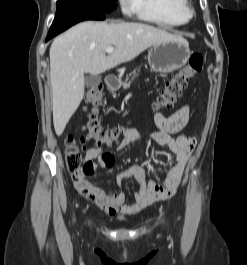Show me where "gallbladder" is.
Segmentation results:
<instances>
[{
    "label": "gallbladder",
    "instance_id": "obj_1",
    "mask_svg": "<svg viewBox=\"0 0 247 265\" xmlns=\"http://www.w3.org/2000/svg\"><path fill=\"white\" fill-rule=\"evenodd\" d=\"M101 81V77L98 75H90L85 78V86L87 88H92L98 85Z\"/></svg>",
    "mask_w": 247,
    "mask_h": 265
}]
</instances>
